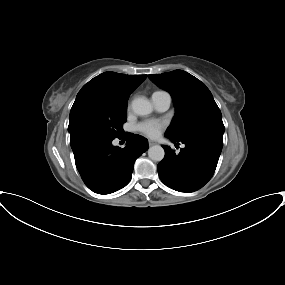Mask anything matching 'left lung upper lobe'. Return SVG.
I'll use <instances>...</instances> for the list:
<instances>
[{
  "label": "left lung upper lobe",
  "mask_w": 285,
  "mask_h": 285,
  "mask_svg": "<svg viewBox=\"0 0 285 285\" xmlns=\"http://www.w3.org/2000/svg\"><path fill=\"white\" fill-rule=\"evenodd\" d=\"M148 77L172 95L176 106V114L165 132L166 136L176 141L200 136L223 140L225 128L221 112L203 82L182 70Z\"/></svg>",
  "instance_id": "obj_1"
}]
</instances>
